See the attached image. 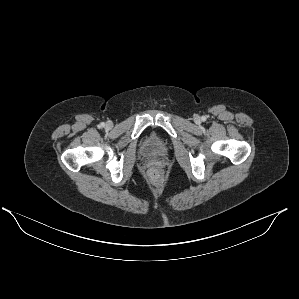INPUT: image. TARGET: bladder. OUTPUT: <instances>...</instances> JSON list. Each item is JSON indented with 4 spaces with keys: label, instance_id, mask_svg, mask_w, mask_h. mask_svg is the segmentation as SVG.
Returning <instances> with one entry per match:
<instances>
[{
    "label": "bladder",
    "instance_id": "31cf9c89",
    "mask_svg": "<svg viewBox=\"0 0 299 299\" xmlns=\"http://www.w3.org/2000/svg\"><path fill=\"white\" fill-rule=\"evenodd\" d=\"M141 154L147 159L161 158L168 154L170 143L155 131H149L140 140Z\"/></svg>",
    "mask_w": 299,
    "mask_h": 299
}]
</instances>
